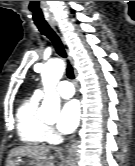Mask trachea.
<instances>
[{
	"label": "trachea",
	"mask_w": 135,
	"mask_h": 166,
	"mask_svg": "<svg viewBox=\"0 0 135 166\" xmlns=\"http://www.w3.org/2000/svg\"><path fill=\"white\" fill-rule=\"evenodd\" d=\"M36 26L43 35H45L47 38H49L52 41V43L56 49V52L61 57L67 58V54H66L64 46L61 42V39L56 34V32L50 27V25L48 23H37ZM66 73H67V76L69 79H74L73 68L69 62L67 64Z\"/></svg>",
	"instance_id": "trachea-1"
}]
</instances>
